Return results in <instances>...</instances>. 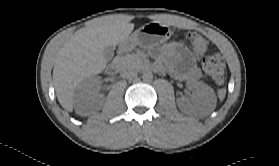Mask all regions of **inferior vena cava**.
<instances>
[{
    "label": "inferior vena cava",
    "instance_id": "1",
    "mask_svg": "<svg viewBox=\"0 0 279 166\" xmlns=\"http://www.w3.org/2000/svg\"><path fill=\"white\" fill-rule=\"evenodd\" d=\"M137 76V71L133 69H128L124 72H122V77L127 79H132Z\"/></svg>",
    "mask_w": 279,
    "mask_h": 166
}]
</instances>
